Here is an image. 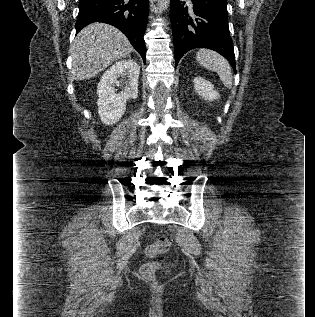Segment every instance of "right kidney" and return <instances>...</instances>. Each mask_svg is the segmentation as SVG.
<instances>
[{
	"instance_id": "ca27d5eb",
	"label": "right kidney",
	"mask_w": 315,
	"mask_h": 317,
	"mask_svg": "<svg viewBox=\"0 0 315 317\" xmlns=\"http://www.w3.org/2000/svg\"><path fill=\"white\" fill-rule=\"evenodd\" d=\"M139 73L140 67L136 61L122 60L102 75L97 86V105L99 117L105 125L117 123L125 112L127 100L138 97ZM119 77L125 78L126 87L117 94L115 86L121 85Z\"/></svg>"
}]
</instances>
